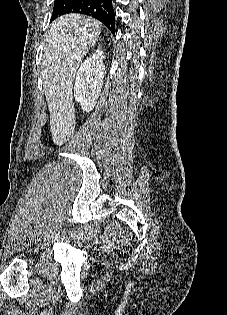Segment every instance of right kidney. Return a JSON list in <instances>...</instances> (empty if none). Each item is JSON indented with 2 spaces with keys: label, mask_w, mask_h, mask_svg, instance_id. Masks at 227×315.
Here are the masks:
<instances>
[{
  "label": "right kidney",
  "mask_w": 227,
  "mask_h": 315,
  "mask_svg": "<svg viewBox=\"0 0 227 315\" xmlns=\"http://www.w3.org/2000/svg\"><path fill=\"white\" fill-rule=\"evenodd\" d=\"M104 59L103 51L98 49L81 64L77 71L74 97L83 111L93 110L99 98L105 76Z\"/></svg>",
  "instance_id": "1"
}]
</instances>
